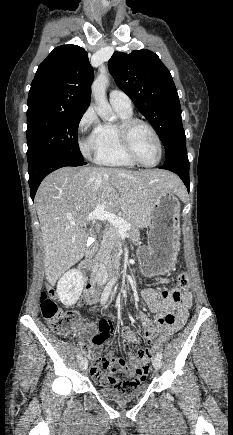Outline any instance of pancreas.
Listing matches in <instances>:
<instances>
[{"label":"pancreas","instance_id":"cf45deb5","mask_svg":"<svg viewBox=\"0 0 233 435\" xmlns=\"http://www.w3.org/2000/svg\"><path fill=\"white\" fill-rule=\"evenodd\" d=\"M126 222L131 223L130 234L131 238L134 240L139 239L138 224L135 223L134 219L128 216H123ZM121 247V237L118 229L114 226L110 227L106 234V241L102 247L99 259L104 264L110 263L111 259H117L119 257V250Z\"/></svg>","mask_w":233,"mask_h":435}]
</instances>
